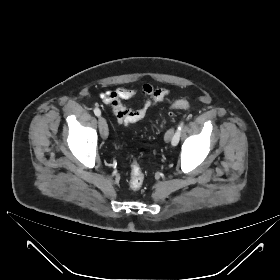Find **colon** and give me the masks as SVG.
Returning a JSON list of instances; mask_svg holds the SVG:
<instances>
[{"label":"colon","instance_id":"colon-1","mask_svg":"<svg viewBox=\"0 0 280 280\" xmlns=\"http://www.w3.org/2000/svg\"><path fill=\"white\" fill-rule=\"evenodd\" d=\"M175 109L186 110L190 107V103L187 100H177L172 104ZM144 183V175L137 163H133L131 166V175L129 180L130 188L134 191L140 190Z\"/></svg>","mask_w":280,"mask_h":280}]
</instances>
